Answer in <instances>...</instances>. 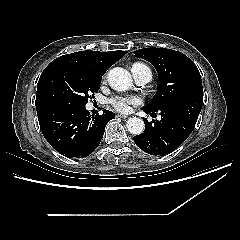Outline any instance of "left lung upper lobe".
I'll return each mask as SVG.
<instances>
[{
	"label": "left lung upper lobe",
	"instance_id": "obj_1",
	"mask_svg": "<svg viewBox=\"0 0 240 240\" xmlns=\"http://www.w3.org/2000/svg\"><path fill=\"white\" fill-rule=\"evenodd\" d=\"M154 65L159 76L158 93L145 108L159 111L173 101L203 95L200 73L183 53L166 48H145L134 52Z\"/></svg>",
	"mask_w": 240,
	"mask_h": 240
}]
</instances>
